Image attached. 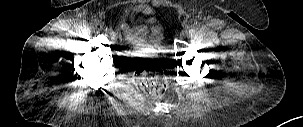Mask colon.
Returning <instances> with one entry per match:
<instances>
[{
	"label": "colon",
	"instance_id": "obj_1",
	"mask_svg": "<svg viewBox=\"0 0 303 127\" xmlns=\"http://www.w3.org/2000/svg\"><path fill=\"white\" fill-rule=\"evenodd\" d=\"M166 62L138 61L135 64V83L139 90L152 97L162 96L167 89Z\"/></svg>",
	"mask_w": 303,
	"mask_h": 127
}]
</instances>
